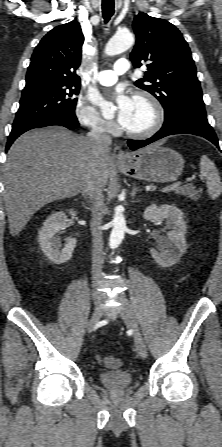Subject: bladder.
Segmentation results:
<instances>
[{
    "label": "bladder",
    "mask_w": 222,
    "mask_h": 447,
    "mask_svg": "<svg viewBox=\"0 0 222 447\" xmlns=\"http://www.w3.org/2000/svg\"><path fill=\"white\" fill-rule=\"evenodd\" d=\"M98 379L105 388L120 391L127 389L132 384L133 376L125 370H112L100 373Z\"/></svg>",
    "instance_id": "1"
}]
</instances>
